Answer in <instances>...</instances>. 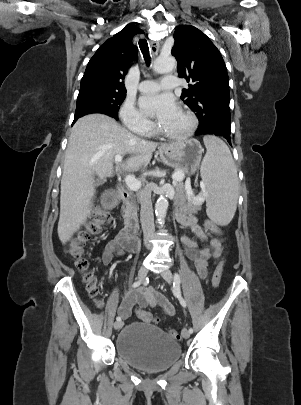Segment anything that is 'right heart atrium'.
<instances>
[{
  "mask_svg": "<svg viewBox=\"0 0 301 405\" xmlns=\"http://www.w3.org/2000/svg\"><path fill=\"white\" fill-rule=\"evenodd\" d=\"M119 116L124 126L133 133L147 135L152 131V122L141 114L131 102H125L122 105Z\"/></svg>",
  "mask_w": 301,
  "mask_h": 405,
  "instance_id": "obj_1",
  "label": "right heart atrium"
}]
</instances>
